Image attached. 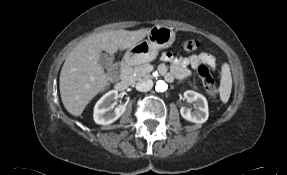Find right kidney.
Listing matches in <instances>:
<instances>
[{"label":"right kidney","mask_w":287,"mask_h":175,"mask_svg":"<svg viewBox=\"0 0 287 175\" xmlns=\"http://www.w3.org/2000/svg\"><path fill=\"white\" fill-rule=\"evenodd\" d=\"M118 98V91L111 90L104 94L94 107L93 118L95 123L108 125L115 122L126 110L127 104H121L111 111L112 101Z\"/></svg>","instance_id":"1"}]
</instances>
